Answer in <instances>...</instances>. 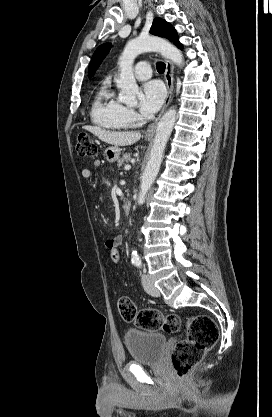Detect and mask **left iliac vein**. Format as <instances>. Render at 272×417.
Returning a JSON list of instances; mask_svg holds the SVG:
<instances>
[{
	"mask_svg": "<svg viewBox=\"0 0 272 417\" xmlns=\"http://www.w3.org/2000/svg\"><path fill=\"white\" fill-rule=\"evenodd\" d=\"M142 284L144 287V290L151 296L159 297L160 292L159 290L153 285V283L150 281L149 277L146 274H143L142 276Z\"/></svg>",
	"mask_w": 272,
	"mask_h": 417,
	"instance_id": "obj_1",
	"label": "left iliac vein"
}]
</instances>
